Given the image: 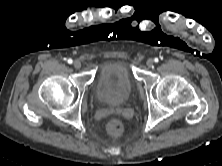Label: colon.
I'll return each instance as SVG.
<instances>
[{"mask_svg":"<svg viewBox=\"0 0 222 166\" xmlns=\"http://www.w3.org/2000/svg\"><path fill=\"white\" fill-rule=\"evenodd\" d=\"M123 124L118 119L111 120L107 125V131L111 136L117 137L123 132Z\"/></svg>","mask_w":222,"mask_h":166,"instance_id":"1","label":"colon"}]
</instances>
